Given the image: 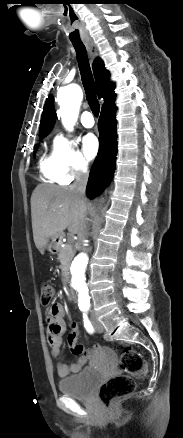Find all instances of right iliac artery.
<instances>
[{
    "label": "right iliac artery",
    "mask_w": 183,
    "mask_h": 438,
    "mask_svg": "<svg viewBox=\"0 0 183 438\" xmlns=\"http://www.w3.org/2000/svg\"><path fill=\"white\" fill-rule=\"evenodd\" d=\"M82 311H85V310H82ZM83 318H84V327L86 328V330L89 333H93L94 332L93 326L91 325V322L89 321V319L85 313L83 314Z\"/></svg>",
    "instance_id": "right-iliac-artery-1"
}]
</instances>
